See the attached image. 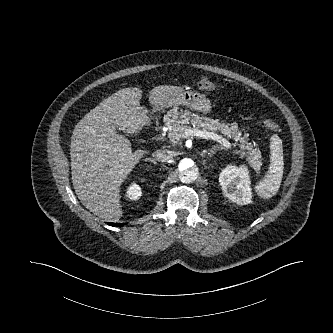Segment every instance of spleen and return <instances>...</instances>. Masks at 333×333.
<instances>
[{"instance_id":"obj_1","label":"spleen","mask_w":333,"mask_h":333,"mask_svg":"<svg viewBox=\"0 0 333 333\" xmlns=\"http://www.w3.org/2000/svg\"><path fill=\"white\" fill-rule=\"evenodd\" d=\"M270 148L269 170L265 179L257 185V190L263 198H270L278 191L283 177L284 161L282 141L277 136H273Z\"/></svg>"}]
</instances>
